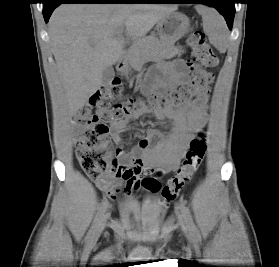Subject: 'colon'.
I'll list each match as a JSON object with an SVG mask.
<instances>
[{"instance_id":"5ec220e1","label":"colon","mask_w":279,"mask_h":267,"mask_svg":"<svg viewBox=\"0 0 279 267\" xmlns=\"http://www.w3.org/2000/svg\"><path fill=\"white\" fill-rule=\"evenodd\" d=\"M188 43L192 48L190 62L196 67L192 82L188 87L174 89L168 93L154 92L150 96V105L154 107L180 106L197 98L206 90L213 75L202 68H214L218 59L201 30H191ZM123 86L118 79L101 88L90 99L89 104L80 108L74 118L77 127L75 140L76 156L85 173L94 181L106 175L118 179H129L142 170L139 163H124L119 159L124 154L121 149L114 151L108 137L111 127L145 104L136 98L120 101ZM207 150L206 135L199 132L190 142L185 159L176 174L161 187L158 180L144 177L142 185L151 192H161L165 202L177 198L185 184L192 178L201 165Z\"/></svg>"}]
</instances>
